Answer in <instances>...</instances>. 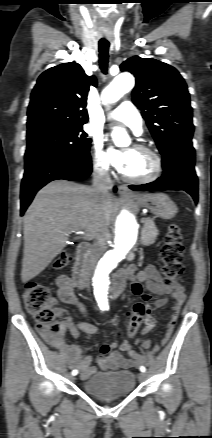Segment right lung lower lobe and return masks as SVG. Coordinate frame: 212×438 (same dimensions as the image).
Listing matches in <instances>:
<instances>
[{
  "mask_svg": "<svg viewBox=\"0 0 212 438\" xmlns=\"http://www.w3.org/2000/svg\"><path fill=\"white\" fill-rule=\"evenodd\" d=\"M91 172L90 153L26 150L25 172L21 183V215L36 192L48 182L57 179L80 180L88 177Z\"/></svg>",
  "mask_w": 212,
  "mask_h": 438,
  "instance_id": "obj_1",
  "label": "right lung lower lobe"
}]
</instances>
